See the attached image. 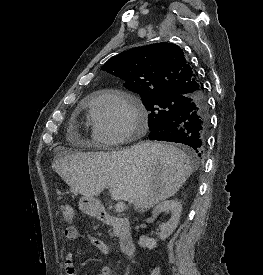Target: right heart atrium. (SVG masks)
Returning <instances> with one entry per match:
<instances>
[{"label": "right heart atrium", "instance_id": "right-heart-atrium-1", "mask_svg": "<svg viewBox=\"0 0 263 275\" xmlns=\"http://www.w3.org/2000/svg\"><path fill=\"white\" fill-rule=\"evenodd\" d=\"M91 114L94 138L105 145L129 140L144 124L139 106L119 91L106 90L95 96Z\"/></svg>", "mask_w": 263, "mask_h": 275}]
</instances>
